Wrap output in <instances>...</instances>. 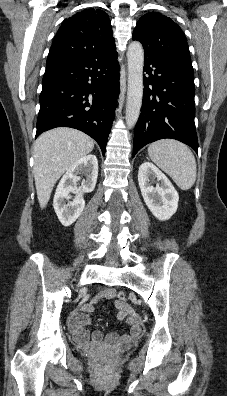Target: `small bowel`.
<instances>
[{"label": "small bowel", "instance_id": "small-bowel-1", "mask_svg": "<svg viewBox=\"0 0 227 396\" xmlns=\"http://www.w3.org/2000/svg\"><path fill=\"white\" fill-rule=\"evenodd\" d=\"M115 298V305L118 309V319L125 320L130 330L126 334L119 335L117 333H110L107 335L105 342L110 345L117 344L119 342H130L138 338L141 334V327L138 323L136 316L134 315L131 307L124 301V299L118 298V292L114 288L102 289L92 301L86 303L82 307V313L73 315L69 320V325L73 332V339L78 344L88 347L97 348L104 342L103 334L99 330L92 332L91 337L86 329L89 323L88 314L94 310V305L101 300Z\"/></svg>", "mask_w": 227, "mask_h": 396}]
</instances>
